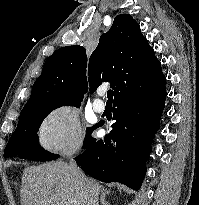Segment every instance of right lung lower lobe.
<instances>
[{
	"mask_svg": "<svg viewBox=\"0 0 199 205\" xmlns=\"http://www.w3.org/2000/svg\"><path fill=\"white\" fill-rule=\"evenodd\" d=\"M166 99L162 70L133 81L114 98L111 132L104 140L89 137L85 151L75 158L81 169L102 182L141 187L151 141L159 128ZM102 126L98 123L95 129Z\"/></svg>",
	"mask_w": 199,
	"mask_h": 205,
	"instance_id": "1",
	"label": "right lung lower lobe"
}]
</instances>
